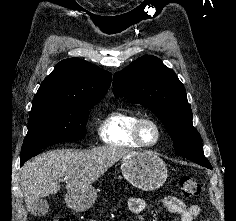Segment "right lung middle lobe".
Wrapping results in <instances>:
<instances>
[{"mask_svg":"<svg viewBox=\"0 0 236 221\" xmlns=\"http://www.w3.org/2000/svg\"><path fill=\"white\" fill-rule=\"evenodd\" d=\"M96 103L33 101L21 156L56 143L83 139L88 110Z\"/></svg>","mask_w":236,"mask_h":221,"instance_id":"obj_1","label":"right lung middle lobe"}]
</instances>
